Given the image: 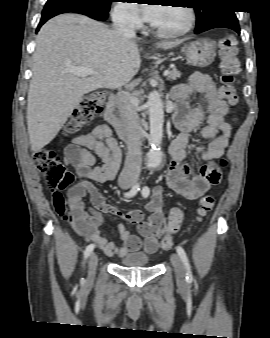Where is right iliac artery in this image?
Here are the masks:
<instances>
[{
  "label": "right iliac artery",
  "mask_w": 270,
  "mask_h": 338,
  "mask_svg": "<svg viewBox=\"0 0 270 338\" xmlns=\"http://www.w3.org/2000/svg\"><path fill=\"white\" fill-rule=\"evenodd\" d=\"M140 190V184L136 183L131 189L130 191L126 192L124 194V197L126 198H131L133 196H135L137 194V192ZM95 245L94 244H90L86 247V250L84 252V256L85 258H88L89 255L92 253V251L94 250Z\"/></svg>",
  "instance_id": "obj_1"
}]
</instances>
